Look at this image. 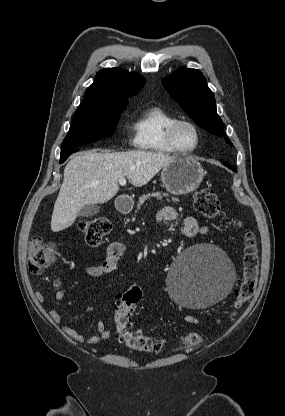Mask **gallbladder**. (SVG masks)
<instances>
[{"instance_id":"obj_1","label":"gallbladder","mask_w":285,"mask_h":416,"mask_svg":"<svg viewBox=\"0 0 285 416\" xmlns=\"http://www.w3.org/2000/svg\"><path fill=\"white\" fill-rule=\"evenodd\" d=\"M98 212H100L99 206H97V204H90V206H84L83 210H80L78 216L88 218V216H94V214H98Z\"/></svg>"}]
</instances>
